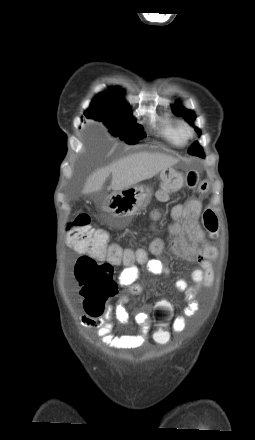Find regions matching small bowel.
Masks as SVG:
<instances>
[{"instance_id":"c3829d8e","label":"small bowel","mask_w":255,"mask_h":440,"mask_svg":"<svg viewBox=\"0 0 255 440\" xmlns=\"http://www.w3.org/2000/svg\"><path fill=\"white\" fill-rule=\"evenodd\" d=\"M203 204L197 200H190L184 204H176L171 208L172 222L167 226L169 235L168 246L171 251L186 260L194 261L199 268L192 272V280L195 285H189L184 279H178L175 287L178 291L185 293L186 305L183 313L177 316L172 324L174 332L179 333L186 327V317L193 316L199 310V303L196 300L199 287H210L213 283V270L211 261L216 258V249L205 243L203 231L200 228L199 220L202 216ZM216 230L209 231L215 233ZM162 244H154L155 250H160ZM143 266L152 275H167L168 267L157 258H148L146 253L139 251L137 260L133 263H126L118 277V284L128 290L127 294L120 296L114 307L107 306L106 313L102 317H90L87 314L81 317L83 326L94 329L98 338L107 346L118 350H134L148 343L150 338V320L147 312H139L134 319L140 327L138 334L116 335L114 325L109 320L114 315L121 324L129 321V313L125 304L130 295L140 294L141 286L138 284L140 267Z\"/></svg>"}]
</instances>
